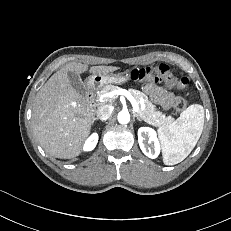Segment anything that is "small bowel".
I'll return each instance as SVG.
<instances>
[{
  "mask_svg": "<svg viewBox=\"0 0 231 231\" xmlns=\"http://www.w3.org/2000/svg\"><path fill=\"white\" fill-rule=\"evenodd\" d=\"M144 91L155 104L161 106L165 110L171 108L175 99L173 92L155 83H148L144 87Z\"/></svg>",
  "mask_w": 231,
  "mask_h": 231,
  "instance_id": "1",
  "label": "small bowel"
}]
</instances>
